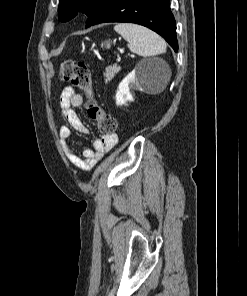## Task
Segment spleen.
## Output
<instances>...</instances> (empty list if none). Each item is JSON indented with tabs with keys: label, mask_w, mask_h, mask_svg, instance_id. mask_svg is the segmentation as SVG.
<instances>
[{
	"label": "spleen",
	"mask_w": 247,
	"mask_h": 296,
	"mask_svg": "<svg viewBox=\"0 0 247 296\" xmlns=\"http://www.w3.org/2000/svg\"><path fill=\"white\" fill-rule=\"evenodd\" d=\"M114 30L127 42L131 52L143 57L160 55L166 52L165 41L155 32L141 25L119 23Z\"/></svg>",
	"instance_id": "1"
}]
</instances>
